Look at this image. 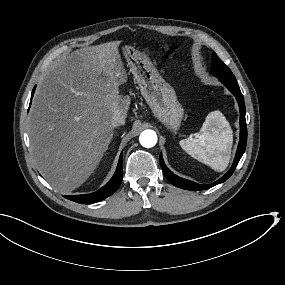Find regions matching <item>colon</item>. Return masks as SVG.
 Returning <instances> with one entry per match:
<instances>
[{
  "mask_svg": "<svg viewBox=\"0 0 285 285\" xmlns=\"http://www.w3.org/2000/svg\"><path fill=\"white\" fill-rule=\"evenodd\" d=\"M162 48H163V52L166 56L170 57L173 55V51L170 50L169 48H167V47H162Z\"/></svg>",
  "mask_w": 285,
  "mask_h": 285,
  "instance_id": "1",
  "label": "colon"
}]
</instances>
